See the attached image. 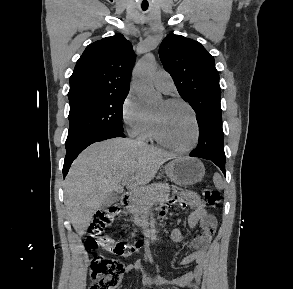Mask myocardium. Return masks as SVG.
<instances>
[{
    "label": "myocardium",
    "instance_id": "myocardium-1",
    "mask_svg": "<svg viewBox=\"0 0 293 289\" xmlns=\"http://www.w3.org/2000/svg\"><path fill=\"white\" fill-rule=\"evenodd\" d=\"M166 103L171 104V105H176V104H180L185 106L191 113L192 115V119L194 122V139L192 141V143L186 147H177L169 142H167L161 135L160 130H159V126L157 121L155 120V118L152 116L151 117V130H152V136L153 138L162 146L173 150L175 152H179V153H188L193 151L199 144L200 141V125H199V121H198V117L196 114V111L194 110V108L185 100L179 99V98H169L165 100Z\"/></svg>",
    "mask_w": 293,
    "mask_h": 289
}]
</instances>
